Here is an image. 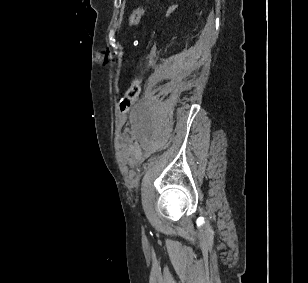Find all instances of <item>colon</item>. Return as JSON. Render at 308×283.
<instances>
[{
  "instance_id": "colon-1",
  "label": "colon",
  "mask_w": 308,
  "mask_h": 283,
  "mask_svg": "<svg viewBox=\"0 0 308 283\" xmlns=\"http://www.w3.org/2000/svg\"><path fill=\"white\" fill-rule=\"evenodd\" d=\"M145 10L144 8H139L135 10L129 18V27L136 26L140 19L142 18ZM142 81L140 78H136L125 91L123 97L120 100L119 107L121 112H125L129 107L137 100L141 91Z\"/></svg>"
}]
</instances>
